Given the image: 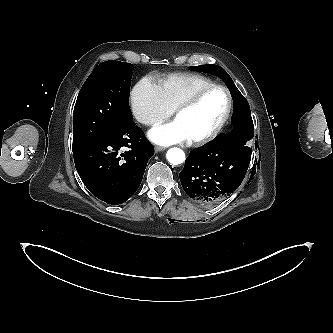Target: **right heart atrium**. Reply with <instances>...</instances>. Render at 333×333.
<instances>
[{
    "label": "right heart atrium",
    "instance_id": "obj_1",
    "mask_svg": "<svg viewBox=\"0 0 333 333\" xmlns=\"http://www.w3.org/2000/svg\"><path fill=\"white\" fill-rule=\"evenodd\" d=\"M130 106L136 120L146 126L161 123L173 113L159 86L149 78H143L134 86Z\"/></svg>",
    "mask_w": 333,
    "mask_h": 333
}]
</instances>
